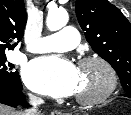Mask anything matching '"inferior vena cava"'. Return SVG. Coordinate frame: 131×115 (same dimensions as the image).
Returning <instances> with one entry per match:
<instances>
[{
    "mask_svg": "<svg viewBox=\"0 0 131 115\" xmlns=\"http://www.w3.org/2000/svg\"><path fill=\"white\" fill-rule=\"evenodd\" d=\"M29 102L32 105L31 108L25 110L20 115H37V107L44 103L42 98L36 97L34 95H29Z\"/></svg>",
    "mask_w": 131,
    "mask_h": 115,
    "instance_id": "obj_1",
    "label": "inferior vena cava"
}]
</instances>
